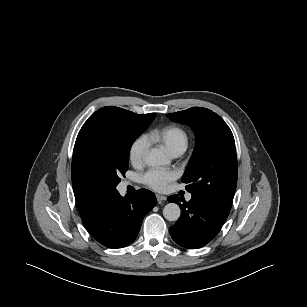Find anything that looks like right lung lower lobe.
I'll return each instance as SVG.
<instances>
[{
	"label": "right lung lower lobe",
	"mask_w": 307,
	"mask_h": 307,
	"mask_svg": "<svg viewBox=\"0 0 307 307\" xmlns=\"http://www.w3.org/2000/svg\"><path fill=\"white\" fill-rule=\"evenodd\" d=\"M156 205L154 193L140 189L122 197L118 191L103 203L92 222L90 234L108 248H122L137 237L143 218Z\"/></svg>",
	"instance_id": "1"
}]
</instances>
